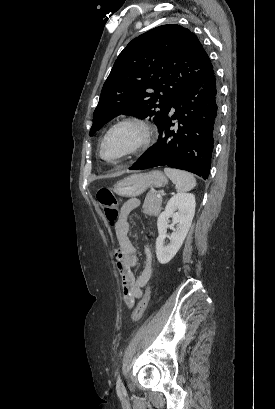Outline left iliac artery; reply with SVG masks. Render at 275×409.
<instances>
[{
    "instance_id": "obj_1",
    "label": "left iliac artery",
    "mask_w": 275,
    "mask_h": 409,
    "mask_svg": "<svg viewBox=\"0 0 275 409\" xmlns=\"http://www.w3.org/2000/svg\"><path fill=\"white\" fill-rule=\"evenodd\" d=\"M116 385H117V387H120L122 385L120 375H118V377H117Z\"/></svg>"
}]
</instances>
